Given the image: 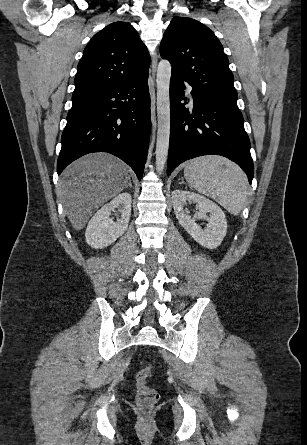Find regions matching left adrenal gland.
Here are the masks:
<instances>
[{
	"label": "left adrenal gland",
	"instance_id": "left-adrenal-gland-1",
	"mask_svg": "<svg viewBox=\"0 0 307 445\" xmlns=\"http://www.w3.org/2000/svg\"><path fill=\"white\" fill-rule=\"evenodd\" d=\"M180 184H185V182H184V178H182V182H180Z\"/></svg>",
	"mask_w": 307,
	"mask_h": 445
}]
</instances>
